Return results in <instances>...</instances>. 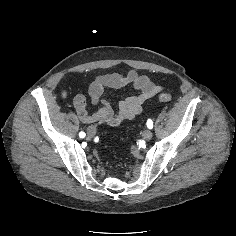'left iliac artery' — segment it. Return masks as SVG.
Segmentation results:
<instances>
[{"label":"left iliac artery","mask_w":236,"mask_h":236,"mask_svg":"<svg viewBox=\"0 0 236 236\" xmlns=\"http://www.w3.org/2000/svg\"><path fill=\"white\" fill-rule=\"evenodd\" d=\"M147 127L149 128V129H152L153 128V122H152V120H148L147 121Z\"/></svg>","instance_id":"44dca946"}]
</instances>
